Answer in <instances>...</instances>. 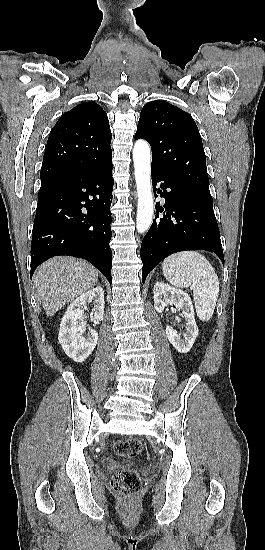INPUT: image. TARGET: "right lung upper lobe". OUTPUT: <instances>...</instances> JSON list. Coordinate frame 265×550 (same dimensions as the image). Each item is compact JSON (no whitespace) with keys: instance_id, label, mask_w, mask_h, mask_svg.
I'll return each instance as SVG.
<instances>
[{"instance_id":"1","label":"right lung upper lobe","mask_w":265,"mask_h":550,"mask_svg":"<svg viewBox=\"0 0 265 550\" xmlns=\"http://www.w3.org/2000/svg\"><path fill=\"white\" fill-rule=\"evenodd\" d=\"M111 137L107 114L97 103H82L64 113L47 141L41 184L107 163L112 159Z\"/></svg>"}]
</instances>
